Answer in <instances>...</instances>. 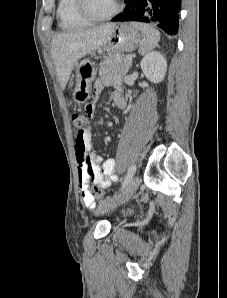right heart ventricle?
<instances>
[{
	"label": "right heart ventricle",
	"instance_id": "1",
	"mask_svg": "<svg viewBox=\"0 0 227 298\" xmlns=\"http://www.w3.org/2000/svg\"><path fill=\"white\" fill-rule=\"evenodd\" d=\"M57 14L60 26L65 30L83 28L90 23L78 13L76 0H59Z\"/></svg>",
	"mask_w": 227,
	"mask_h": 298
}]
</instances>
